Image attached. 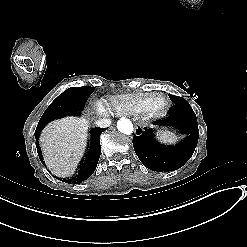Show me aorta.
<instances>
[{"label": "aorta", "instance_id": "aorta-1", "mask_svg": "<svg viewBox=\"0 0 247 247\" xmlns=\"http://www.w3.org/2000/svg\"><path fill=\"white\" fill-rule=\"evenodd\" d=\"M117 129L126 135H129L133 132V124L129 119L121 118L117 122Z\"/></svg>", "mask_w": 247, "mask_h": 247}]
</instances>
